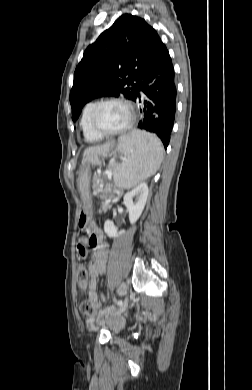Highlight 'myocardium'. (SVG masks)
I'll list each match as a JSON object with an SVG mask.
<instances>
[{"mask_svg": "<svg viewBox=\"0 0 252 390\" xmlns=\"http://www.w3.org/2000/svg\"><path fill=\"white\" fill-rule=\"evenodd\" d=\"M107 103H120V104H123L124 106L127 107V109L129 110V113H130V118H129V121L127 122V124L125 126H123L120 129L114 130V131H106V130H103L98 125L97 120H96L97 112H98L99 108L103 104H107ZM135 121H136V111H135V108H134L133 104L130 101L126 100V99L117 98V97H111V98H106V99H102L100 101H97L94 104V106H93V108L91 110V114H90V124H91V127L98 134H100L102 136H105V137L118 136V135H121V134H124V133L128 132L133 127V125L135 124Z\"/></svg>", "mask_w": 252, "mask_h": 390, "instance_id": "f54148a6", "label": "myocardium"}]
</instances>
